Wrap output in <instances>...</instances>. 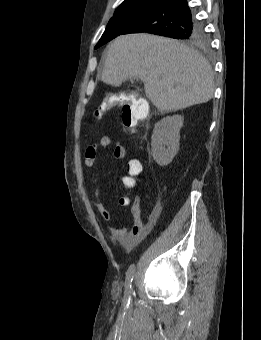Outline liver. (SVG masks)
<instances>
[{
    "instance_id": "1",
    "label": "liver",
    "mask_w": 261,
    "mask_h": 340,
    "mask_svg": "<svg viewBox=\"0 0 261 340\" xmlns=\"http://www.w3.org/2000/svg\"><path fill=\"white\" fill-rule=\"evenodd\" d=\"M144 82L148 99L160 112L208 102L214 94L210 64L177 40L139 33L117 37L109 46L101 80Z\"/></svg>"
}]
</instances>
